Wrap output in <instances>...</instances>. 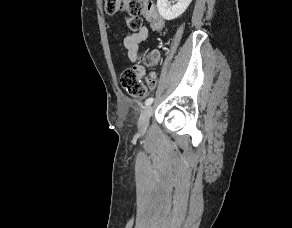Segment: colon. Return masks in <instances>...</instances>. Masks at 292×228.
I'll return each instance as SVG.
<instances>
[{
  "label": "colon",
  "mask_w": 292,
  "mask_h": 228,
  "mask_svg": "<svg viewBox=\"0 0 292 228\" xmlns=\"http://www.w3.org/2000/svg\"><path fill=\"white\" fill-rule=\"evenodd\" d=\"M105 10L108 14L127 13V27L131 31H137L141 28L142 17H149L151 27L154 29H161L164 24L162 18L154 13L152 3L149 0H105ZM141 60L151 66L156 63L157 55L156 53H150L142 56ZM152 77L147 80L148 86ZM120 82L131 96L142 98L146 95L147 87L143 76L137 71L136 67L125 69L121 73Z\"/></svg>",
  "instance_id": "5ec220e1"
}]
</instances>
